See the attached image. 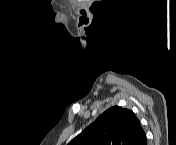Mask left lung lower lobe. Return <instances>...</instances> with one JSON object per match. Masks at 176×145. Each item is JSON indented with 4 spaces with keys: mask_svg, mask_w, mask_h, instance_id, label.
I'll return each instance as SVG.
<instances>
[{
    "mask_svg": "<svg viewBox=\"0 0 176 145\" xmlns=\"http://www.w3.org/2000/svg\"><path fill=\"white\" fill-rule=\"evenodd\" d=\"M143 145H147V142H146V140L144 141Z\"/></svg>",
    "mask_w": 176,
    "mask_h": 145,
    "instance_id": "0a47b994",
    "label": "left lung lower lobe"
}]
</instances>
